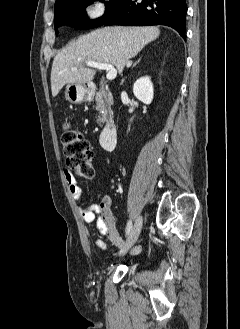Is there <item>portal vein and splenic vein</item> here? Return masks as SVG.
Segmentation results:
<instances>
[{
	"instance_id": "1",
	"label": "portal vein and splenic vein",
	"mask_w": 240,
	"mask_h": 329,
	"mask_svg": "<svg viewBox=\"0 0 240 329\" xmlns=\"http://www.w3.org/2000/svg\"><path fill=\"white\" fill-rule=\"evenodd\" d=\"M86 65L88 67L107 70L108 72H107L106 77H107L108 80H113L117 76V70L114 68L113 65H111L109 63H100V62H95V61H88V62H86ZM72 70H77V68H72Z\"/></svg>"
}]
</instances>
